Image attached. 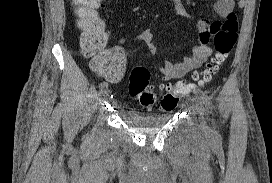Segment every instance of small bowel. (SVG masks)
Listing matches in <instances>:
<instances>
[{"mask_svg": "<svg viewBox=\"0 0 272 183\" xmlns=\"http://www.w3.org/2000/svg\"><path fill=\"white\" fill-rule=\"evenodd\" d=\"M244 1L245 0H238V6L243 7ZM173 3L175 11L178 15L184 17L188 16L181 0H173ZM234 6V0H218L214 5V9L221 18H227L232 13ZM215 22L218 21L202 19L198 22V30L201 34L199 44L195 45L192 48L191 54L180 62H173L169 60L164 62V65L160 69L164 80L169 81L182 78L186 74L200 68L206 62L212 52L207 43H210V39H214V36L217 35L216 31L209 30H220V25H211ZM131 40L145 43L149 47L152 54L158 53V48L154 43V35L149 30L142 31L141 33L132 37ZM125 41L126 39L124 38L121 40V43H124ZM108 50L116 56V59L106 70H98V72L108 81L116 82L124 73L126 58L121 46H114Z\"/></svg>", "mask_w": 272, "mask_h": 183, "instance_id": "obj_1", "label": "small bowel"}]
</instances>
